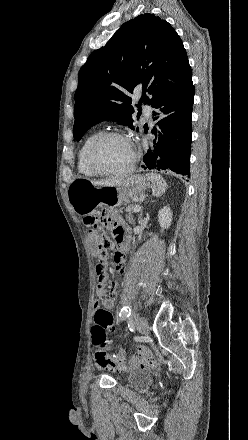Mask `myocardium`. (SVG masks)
Segmentation results:
<instances>
[{"instance_id":"obj_1","label":"myocardium","mask_w":248,"mask_h":440,"mask_svg":"<svg viewBox=\"0 0 248 440\" xmlns=\"http://www.w3.org/2000/svg\"><path fill=\"white\" fill-rule=\"evenodd\" d=\"M113 137L123 138V139H126L129 141V143L131 144V147H132V151H133L132 159H131L130 163L128 164V166L120 171L108 172V171L100 170L94 163V153H95L97 147L103 141H105L106 139H109V138H113ZM137 160H138V153H137L134 145L132 144L131 139L123 132L117 131V130L101 132L91 142V144L88 147L87 153H86V162H87L89 169L95 175L102 176V177H121V176L127 175L131 171H133V169L136 166Z\"/></svg>"}]
</instances>
